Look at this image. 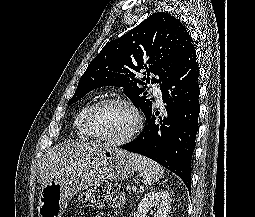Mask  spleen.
I'll return each instance as SVG.
<instances>
[{
    "label": "spleen",
    "instance_id": "1",
    "mask_svg": "<svg viewBox=\"0 0 255 217\" xmlns=\"http://www.w3.org/2000/svg\"><path fill=\"white\" fill-rule=\"evenodd\" d=\"M130 157L135 167L142 173L145 184H152L162 177L164 169L157 162L134 153H130Z\"/></svg>",
    "mask_w": 255,
    "mask_h": 217
}]
</instances>
